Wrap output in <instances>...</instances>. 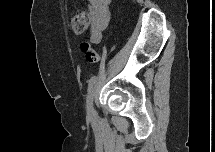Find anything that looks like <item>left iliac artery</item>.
Here are the masks:
<instances>
[{
  "mask_svg": "<svg viewBox=\"0 0 215 152\" xmlns=\"http://www.w3.org/2000/svg\"><path fill=\"white\" fill-rule=\"evenodd\" d=\"M97 80V76H93L89 81H88V93L90 92V90L92 89L93 85L95 84Z\"/></svg>",
  "mask_w": 215,
  "mask_h": 152,
  "instance_id": "44dca946",
  "label": "left iliac artery"
}]
</instances>
